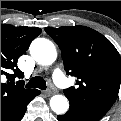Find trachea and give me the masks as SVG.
I'll return each mask as SVG.
<instances>
[{
    "label": "trachea",
    "mask_w": 121,
    "mask_h": 121,
    "mask_svg": "<svg viewBox=\"0 0 121 121\" xmlns=\"http://www.w3.org/2000/svg\"><path fill=\"white\" fill-rule=\"evenodd\" d=\"M26 87L27 88H39L41 90H45L47 86H46L45 80L42 77L36 76L29 80Z\"/></svg>",
    "instance_id": "1"
}]
</instances>
